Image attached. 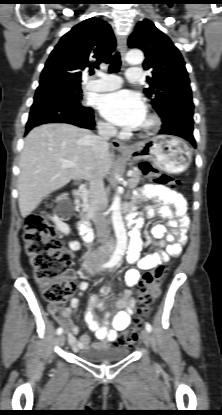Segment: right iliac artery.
<instances>
[{
	"label": "right iliac artery",
	"instance_id": "obj_1",
	"mask_svg": "<svg viewBox=\"0 0 222 415\" xmlns=\"http://www.w3.org/2000/svg\"><path fill=\"white\" fill-rule=\"evenodd\" d=\"M62 332H63L62 327H59V328L57 329V334H58V335H60Z\"/></svg>",
	"mask_w": 222,
	"mask_h": 415
}]
</instances>
